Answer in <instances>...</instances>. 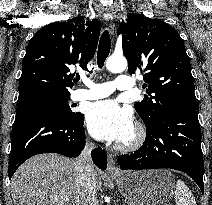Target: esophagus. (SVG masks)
<instances>
[{
	"label": "esophagus",
	"instance_id": "1",
	"mask_svg": "<svg viewBox=\"0 0 212 205\" xmlns=\"http://www.w3.org/2000/svg\"><path fill=\"white\" fill-rule=\"evenodd\" d=\"M104 20H105L106 26L109 29L110 33L113 34L114 27H115L114 16H113L112 12L108 9L105 10V12H104ZM107 173L111 174V175L119 174V170L115 164V158L112 154H109V157H108Z\"/></svg>",
	"mask_w": 212,
	"mask_h": 205
}]
</instances>
